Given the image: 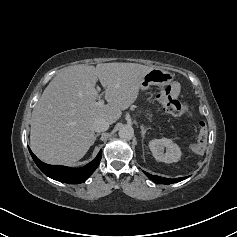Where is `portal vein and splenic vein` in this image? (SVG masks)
I'll use <instances>...</instances> for the list:
<instances>
[{"label": "portal vein and splenic vein", "instance_id": "obj_1", "mask_svg": "<svg viewBox=\"0 0 237 237\" xmlns=\"http://www.w3.org/2000/svg\"><path fill=\"white\" fill-rule=\"evenodd\" d=\"M103 104H104V100H99L98 102L95 103L96 106H102Z\"/></svg>", "mask_w": 237, "mask_h": 237}]
</instances>
